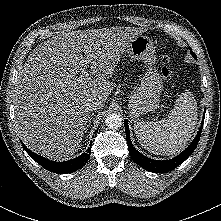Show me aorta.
I'll use <instances>...</instances> for the list:
<instances>
[{
	"label": "aorta",
	"mask_w": 221,
	"mask_h": 221,
	"mask_svg": "<svg viewBox=\"0 0 221 221\" xmlns=\"http://www.w3.org/2000/svg\"><path fill=\"white\" fill-rule=\"evenodd\" d=\"M105 123L109 129H118L123 122L120 115L112 113L107 116Z\"/></svg>",
	"instance_id": "762f6f07"
}]
</instances>
